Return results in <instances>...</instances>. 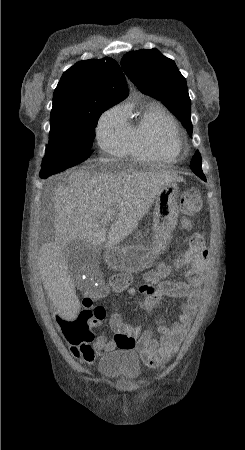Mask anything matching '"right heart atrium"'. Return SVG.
<instances>
[{
    "label": "right heart atrium",
    "instance_id": "obj_1",
    "mask_svg": "<svg viewBox=\"0 0 245 450\" xmlns=\"http://www.w3.org/2000/svg\"><path fill=\"white\" fill-rule=\"evenodd\" d=\"M96 139L108 155L122 157L127 153V120L123 107L115 106L101 115L96 126Z\"/></svg>",
    "mask_w": 245,
    "mask_h": 450
}]
</instances>
